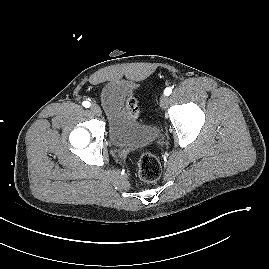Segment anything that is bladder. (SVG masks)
<instances>
[{
    "mask_svg": "<svg viewBox=\"0 0 269 269\" xmlns=\"http://www.w3.org/2000/svg\"><path fill=\"white\" fill-rule=\"evenodd\" d=\"M133 85L125 80H112L100 92L101 103L109 119V138L116 147H145L159 137L157 124H140L128 112L126 103Z\"/></svg>",
    "mask_w": 269,
    "mask_h": 269,
    "instance_id": "obj_1",
    "label": "bladder"
}]
</instances>
